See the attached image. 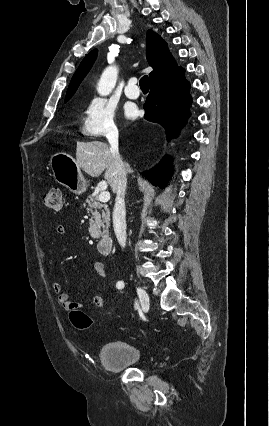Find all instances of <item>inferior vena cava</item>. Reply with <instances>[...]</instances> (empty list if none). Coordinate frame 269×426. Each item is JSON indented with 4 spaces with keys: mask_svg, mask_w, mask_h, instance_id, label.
I'll use <instances>...</instances> for the list:
<instances>
[{
    "mask_svg": "<svg viewBox=\"0 0 269 426\" xmlns=\"http://www.w3.org/2000/svg\"><path fill=\"white\" fill-rule=\"evenodd\" d=\"M108 141L110 144L111 153L114 156L117 172H118V182L116 187V199L115 206L113 211V226L114 231L117 237V240L121 247L126 246V211H125V194L127 187V178H126V167L127 165L122 161L119 150H118V132L113 131L108 136Z\"/></svg>",
    "mask_w": 269,
    "mask_h": 426,
    "instance_id": "inferior-vena-cava-1",
    "label": "inferior vena cava"
}]
</instances>
